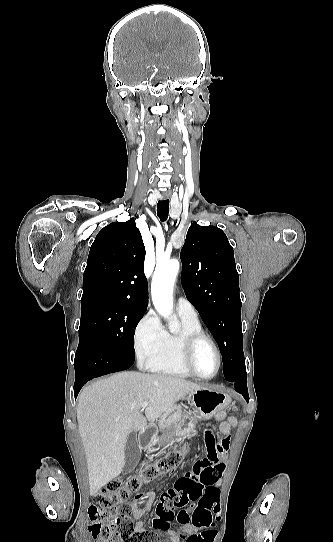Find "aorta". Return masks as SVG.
Returning a JSON list of instances; mask_svg holds the SVG:
<instances>
[{"label":"aorta","mask_w":333,"mask_h":542,"mask_svg":"<svg viewBox=\"0 0 333 542\" xmlns=\"http://www.w3.org/2000/svg\"><path fill=\"white\" fill-rule=\"evenodd\" d=\"M179 270L178 260H171L161 268H156L151 284V294L155 310L160 316L169 320L170 330H177L176 322H172L173 310V284Z\"/></svg>","instance_id":"obj_1"}]
</instances>
